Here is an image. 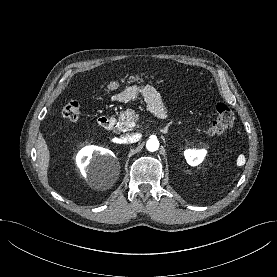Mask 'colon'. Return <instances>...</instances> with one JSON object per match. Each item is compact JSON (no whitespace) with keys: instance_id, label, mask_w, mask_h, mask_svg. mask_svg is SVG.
Here are the masks:
<instances>
[{"instance_id":"1","label":"colon","mask_w":277,"mask_h":277,"mask_svg":"<svg viewBox=\"0 0 277 277\" xmlns=\"http://www.w3.org/2000/svg\"><path fill=\"white\" fill-rule=\"evenodd\" d=\"M147 75L144 76H130L123 78L120 81H111L107 84L108 89H115L119 86L120 83L124 82H135L139 81L142 78H147ZM81 113L80 104L77 101L68 102L62 110V114L65 118L69 120H77ZM234 113L233 111L224 103H218L216 105V115L212 124L210 125L208 132L212 136L221 135L227 130H229L234 123Z\"/></svg>"}]
</instances>
